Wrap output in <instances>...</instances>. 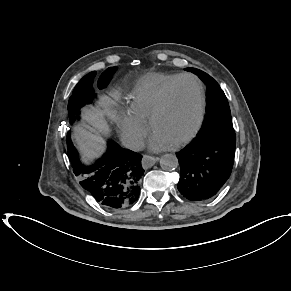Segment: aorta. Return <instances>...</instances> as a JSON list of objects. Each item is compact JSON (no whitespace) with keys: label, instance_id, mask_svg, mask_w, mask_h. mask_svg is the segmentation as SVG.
Wrapping results in <instances>:
<instances>
[{"label":"aorta","instance_id":"762f6f07","mask_svg":"<svg viewBox=\"0 0 291 291\" xmlns=\"http://www.w3.org/2000/svg\"><path fill=\"white\" fill-rule=\"evenodd\" d=\"M178 159L174 154H165L160 159V166L163 170L170 171L178 167Z\"/></svg>","mask_w":291,"mask_h":291}]
</instances>
